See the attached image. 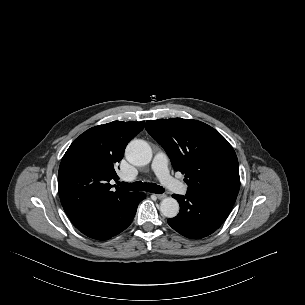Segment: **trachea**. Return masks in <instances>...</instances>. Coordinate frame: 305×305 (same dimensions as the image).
<instances>
[{
  "instance_id": "obj_1",
  "label": "trachea",
  "mask_w": 305,
  "mask_h": 305,
  "mask_svg": "<svg viewBox=\"0 0 305 305\" xmlns=\"http://www.w3.org/2000/svg\"><path fill=\"white\" fill-rule=\"evenodd\" d=\"M119 186L123 189L129 190V191H148L151 193H157L161 194L165 190L163 187L155 184V183H143L141 181L134 182V183H127V182H119Z\"/></svg>"
}]
</instances>
